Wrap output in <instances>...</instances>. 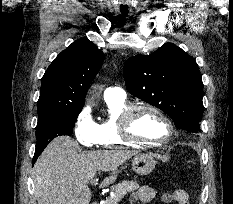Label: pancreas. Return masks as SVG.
<instances>
[{"instance_id": "1", "label": "pancreas", "mask_w": 233, "mask_h": 204, "mask_svg": "<svg viewBox=\"0 0 233 204\" xmlns=\"http://www.w3.org/2000/svg\"><path fill=\"white\" fill-rule=\"evenodd\" d=\"M138 188L139 184L136 181L124 180L121 183H118L117 185L111 187L114 195L107 197L104 201V204H118L122 200L124 195L133 192Z\"/></svg>"}]
</instances>
